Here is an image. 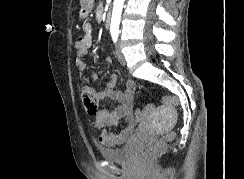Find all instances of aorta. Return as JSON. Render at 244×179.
Returning <instances> with one entry per match:
<instances>
[{
    "mask_svg": "<svg viewBox=\"0 0 244 179\" xmlns=\"http://www.w3.org/2000/svg\"><path fill=\"white\" fill-rule=\"evenodd\" d=\"M125 0H115L113 6V14L111 18L110 24V32H114V30H119V24L121 20V12L124 6Z\"/></svg>",
    "mask_w": 244,
    "mask_h": 179,
    "instance_id": "aorta-1",
    "label": "aorta"
}]
</instances>
